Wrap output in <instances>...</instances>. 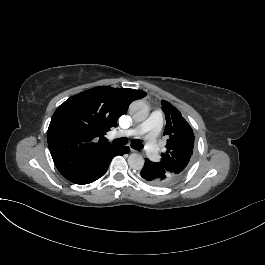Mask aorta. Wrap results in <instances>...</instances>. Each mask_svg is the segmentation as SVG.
Returning <instances> with one entry per match:
<instances>
[{
	"instance_id": "1",
	"label": "aorta",
	"mask_w": 265,
	"mask_h": 265,
	"mask_svg": "<svg viewBox=\"0 0 265 265\" xmlns=\"http://www.w3.org/2000/svg\"><path fill=\"white\" fill-rule=\"evenodd\" d=\"M129 111L137 122L144 121L149 114L148 106L143 101L132 102ZM128 164L133 170H141L144 166V159L140 154L133 153L128 157Z\"/></svg>"
}]
</instances>
